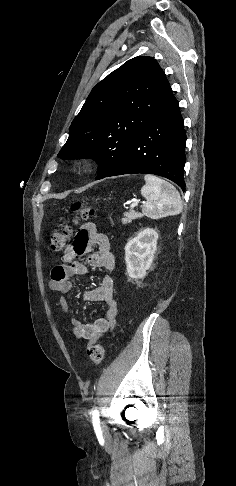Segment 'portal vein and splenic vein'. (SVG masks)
Here are the masks:
<instances>
[{
    "mask_svg": "<svg viewBox=\"0 0 236 486\" xmlns=\"http://www.w3.org/2000/svg\"><path fill=\"white\" fill-rule=\"evenodd\" d=\"M138 204H139V201H135L134 203H132V204L130 205V208H131V209H134V208H136V207L138 206Z\"/></svg>",
    "mask_w": 236,
    "mask_h": 486,
    "instance_id": "1",
    "label": "portal vein and splenic vein"
}]
</instances>
